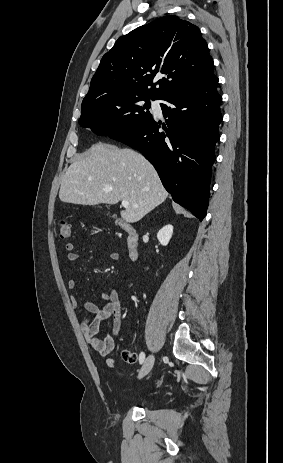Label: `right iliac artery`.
<instances>
[{"label":"right iliac artery","instance_id":"1","mask_svg":"<svg viewBox=\"0 0 283 463\" xmlns=\"http://www.w3.org/2000/svg\"><path fill=\"white\" fill-rule=\"evenodd\" d=\"M145 360V353L141 352L139 355V363L142 364Z\"/></svg>","mask_w":283,"mask_h":463}]
</instances>
